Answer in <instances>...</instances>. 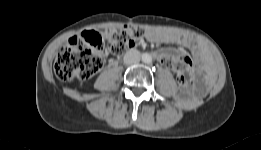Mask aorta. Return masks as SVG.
Masks as SVG:
<instances>
[{
  "label": "aorta",
  "mask_w": 261,
  "mask_h": 150,
  "mask_svg": "<svg viewBox=\"0 0 261 150\" xmlns=\"http://www.w3.org/2000/svg\"><path fill=\"white\" fill-rule=\"evenodd\" d=\"M142 61L144 63H147V64L151 63L152 62L151 55L150 54H144L143 57H142Z\"/></svg>",
  "instance_id": "aorta-1"
}]
</instances>
